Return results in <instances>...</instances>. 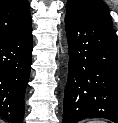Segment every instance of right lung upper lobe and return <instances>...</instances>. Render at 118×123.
Segmentation results:
<instances>
[{
  "instance_id": "1",
  "label": "right lung upper lobe",
  "mask_w": 118,
  "mask_h": 123,
  "mask_svg": "<svg viewBox=\"0 0 118 123\" xmlns=\"http://www.w3.org/2000/svg\"><path fill=\"white\" fill-rule=\"evenodd\" d=\"M27 0H0V38L21 33L31 26Z\"/></svg>"
}]
</instances>
